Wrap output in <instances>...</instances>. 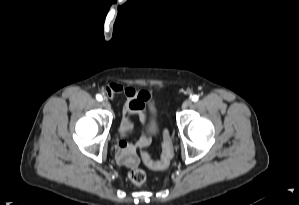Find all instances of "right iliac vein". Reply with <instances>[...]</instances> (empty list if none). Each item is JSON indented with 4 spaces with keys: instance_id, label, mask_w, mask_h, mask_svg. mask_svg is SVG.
Masks as SVG:
<instances>
[{
    "instance_id": "63e3f726",
    "label": "right iliac vein",
    "mask_w": 299,
    "mask_h": 205,
    "mask_svg": "<svg viewBox=\"0 0 299 205\" xmlns=\"http://www.w3.org/2000/svg\"><path fill=\"white\" fill-rule=\"evenodd\" d=\"M102 105H103L107 110H110V109H111V105H110L109 101L106 100V99H104V100L102 101Z\"/></svg>"
}]
</instances>
